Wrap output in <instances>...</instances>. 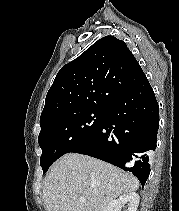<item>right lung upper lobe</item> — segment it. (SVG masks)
Instances as JSON below:
<instances>
[{"mask_svg": "<svg viewBox=\"0 0 179 211\" xmlns=\"http://www.w3.org/2000/svg\"><path fill=\"white\" fill-rule=\"evenodd\" d=\"M144 77L122 40L103 37L60 69L47 93L40 126L83 110L108 108Z\"/></svg>", "mask_w": 179, "mask_h": 211, "instance_id": "obj_1", "label": "right lung upper lobe"}]
</instances>
